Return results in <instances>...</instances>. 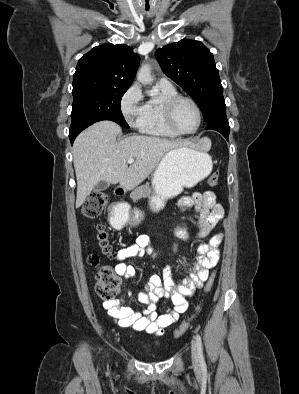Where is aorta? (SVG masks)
I'll return each mask as SVG.
<instances>
[{
    "label": "aorta",
    "mask_w": 299,
    "mask_h": 394,
    "mask_svg": "<svg viewBox=\"0 0 299 394\" xmlns=\"http://www.w3.org/2000/svg\"><path fill=\"white\" fill-rule=\"evenodd\" d=\"M137 80L144 86L151 84L153 81L151 76V67L149 65H143L138 73H137ZM150 96H153L154 93L147 92Z\"/></svg>",
    "instance_id": "aorta-1"
}]
</instances>
